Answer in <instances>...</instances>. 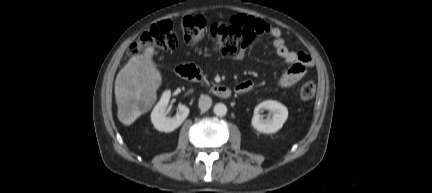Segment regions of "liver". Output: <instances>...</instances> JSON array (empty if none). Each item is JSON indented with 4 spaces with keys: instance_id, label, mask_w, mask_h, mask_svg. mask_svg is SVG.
Masks as SVG:
<instances>
[{
    "instance_id": "6515ba94",
    "label": "liver",
    "mask_w": 432,
    "mask_h": 193,
    "mask_svg": "<svg viewBox=\"0 0 432 193\" xmlns=\"http://www.w3.org/2000/svg\"><path fill=\"white\" fill-rule=\"evenodd\" d=\"M153 47H147L141 55H135L117 74L115 97L117 117L125 125H131L147 112L157 99V89L162 77L152 60Z\"/></svg>"
}]
</instances>
